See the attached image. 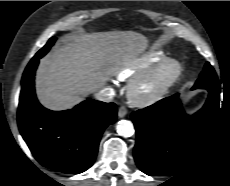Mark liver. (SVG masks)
Here are the masks:
<instances>
[{
    "label": "liver",
    "mask_w": 230,
    "mask_h": 186,
    "mask_svg": "<svg viewBox=\"0 0 230 186\" xmlns=\"http://www.w3.org/2000/svg\"><path fill=\"white\" fill-rule=\"evenodd\" d=\"M66 40L41 59L37 70L38 99L51 110L69 109L102 88L115 67L135 58L147 43L133 31L80 33Z\"/></svg>",
    "instance_id": "liver-1"
}]
</instances>
